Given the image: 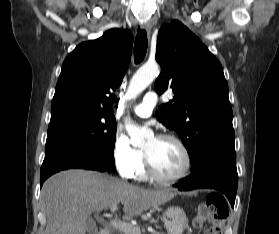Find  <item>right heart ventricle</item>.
<instances>
[{
  "label": "right heart ventricle",
  "mask_w": 279,
  "mask_h": 234,
  "mask_svg": "<svg viewBox=\"0 0 279 234\" xmlns=\"http://www.w3.org/2000/svg\"><path fill=\"white\" fill-rule=\"evenodd\" d=\"M132 177L137 180H145L147 178L144 155L142 152H141L140 162Z\"/></svg>",
  "instance_id": "right-heart-ventricle-1"
}]
</instances>
